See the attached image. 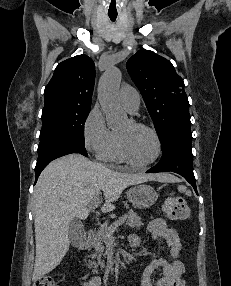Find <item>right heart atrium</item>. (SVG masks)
<instances>
[{
    "label": "right heart atrium",
    "instance_id": "1",
    "mask_svg": "<svg viewBox=\"0 0 231 286\" xmlns=\"http://www.w3.org/2000/svg\"><path fill=\"white\" fill-rule=\"evenodd\" d=\"M83 143L92 154L98 155L113 139V132L107 127L102 111L94 107L83 123Z\"/></svg>",
    "mask_w": 231,
    "mask_h": 286
}]
</instances>
